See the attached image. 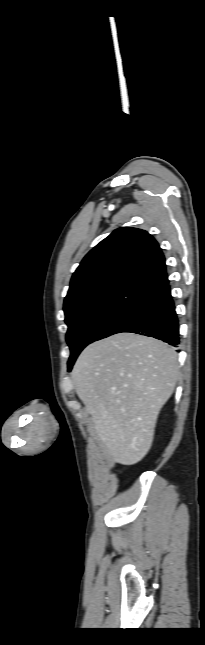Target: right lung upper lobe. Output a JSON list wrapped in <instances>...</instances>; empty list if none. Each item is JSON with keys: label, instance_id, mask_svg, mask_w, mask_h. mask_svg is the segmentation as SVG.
Here are the masks:
<instances>
[{"label": "right lung upper lobe", "instance_id": "cb5924a9", "mask_svg": "<svg viewBox=\"0 0 205 645\" xmlns=\"http://www.w3.org/2000/svg\"><path fill=\"white\" fill-rule=\"evenodd\" d=\"M164 276L165 257L156 240L141 229L119 228L84 257L64 307L124 285L147 289Z\"/></svg>", "mask_w": 205, "mask_h": 645}]
</instances>
